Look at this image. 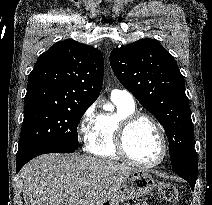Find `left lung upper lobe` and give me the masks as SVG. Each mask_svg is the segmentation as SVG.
<instances>
[{
  "instance_id": "5c2ea615",
  "label": "left lung upper lobe",
  "mask_w": 212,
  "mask_h": 205,
  "mask_svg": "<svg viewBox=\"0 0 212 205\" xmlns=\"http://www.w3.org/2000/svg\"><path fill=\"white\" fill-rule=\"evenodd\" d=\"M110 64L122 85L163 126L172 167H197L184 78L174 57L158 41L141 39L113 49Z\"/></svg>"
}]
</instances>
